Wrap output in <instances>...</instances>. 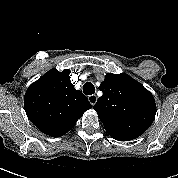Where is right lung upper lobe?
Masks as SVG:
<instances>
[{
  "label": "right lung upper lobe",
  "mask_w": 178,
  "mask_h": 178,
  "mask_svg": "<svg viewBox=\"0 0 178 178\" xmlns=\"http://www.w3.org/2000/svg\"><path fill=\"white\" fill-rule=\"evenodd\" d=\"M69 70L51 69L30 85L24 98L29 120L43 133L59 137L92 106L70 81Z\"/></svg>",
  "instance_id": "cb5924a9"
}]
</instances>
